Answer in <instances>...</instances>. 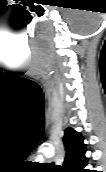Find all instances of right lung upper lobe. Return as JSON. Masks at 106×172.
<instances>
[{
  "label": "right lung upper lobe",
  "mask_w": 106,
  "mask_h": 172,
  "mask_svg": "<svg viewBox=\"0 0 106 172\" xmlns=\"http://www.w3.org/2000/svg\"><path fill=\"white\" fill-rule=\"evenodd\" d=\"M63 143L66 150L64 164L60 167L61 172H88L84 169L87 165L85 157L86 147L83 143V137L79 132L72 128L65 130Z\"/></svg>",
  "instance_id": "cb5924a9"
}]
</instances>
